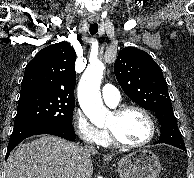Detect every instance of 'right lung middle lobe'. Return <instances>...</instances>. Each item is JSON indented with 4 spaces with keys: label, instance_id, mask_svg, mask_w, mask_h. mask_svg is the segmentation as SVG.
<instances>
[{
    "label": "right lung middle lobe",
    "instance_id": "right-lung-middle-lobe-1",
    "mask_svg": "<svg viewBox=\"0 0 194 178\" xmlns=\"http://www.w3.org/2000/svg\"><path fill=\"white\" fill-rule=\"evenodd\" d=\"M74 99L64 97H33L18 101L14 125L38 122L72 129Z\"/></svg>",
    "mask_w": 194,
    "mask_h": 178
}]
</instances>
